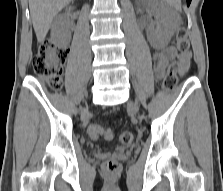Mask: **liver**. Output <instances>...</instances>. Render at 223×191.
I'll return each mask as SVG.
<instances>
[{
    "instance_id": "6515ba94",
    "label": "liver",
    "mask_w": 223,
    "mask_h": 191,
    "mask_svg": "<svg viewBox=\"0 0 223 191\" xmlns=\"http://www.w3.org/2000/svg\"><path fill=\"white\" fill-rule=\"evenodd\" d=\"M73 0H29V9L34 31L42 43L49 31L53 18Z\"/></svg>"
}]
</instances>
